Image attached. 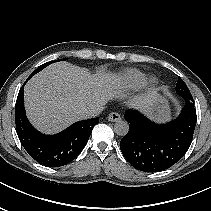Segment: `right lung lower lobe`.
<instances>
[{
    "label": "right lung lower lobe",
    "mask_w": 211,
    "mask_h": 211,
    "mask_svg": "<svg viewBox=\"0 0 211 211\" xmlns=\"http://www.w3.org/2000/svg\"><path fill=\"white\" fill-rule=\"evenodd\" d=\"M25 83L20 88L15 106L16 130L22 146L42 165L48 167L67 165L81 153L99 118L78 121L56 135H44L30 124L25 115L23 94Z\"/></svg>",
    "instance_id": "obj_1"
}]
</instances>
